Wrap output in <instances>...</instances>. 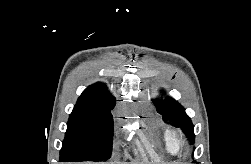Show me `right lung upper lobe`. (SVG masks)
I'll return each mask as SVG.
<instances>
[{
  "instance_id": "cb5924a9",
  "label": "right lung upper lobe",
  "mask_w": 251,
  "mask_h": 164,
  "mask_svg": "<svg viewBox=\"0 0 251 164\" xmlns=\"http://www.w3.org/2000/svg\"><path fill=\"white\" fill-rule=\"evenodd\" d=\"M77 103L99 107H109L115 105V98L102 83H96L83 91Z\"/></svg>"
}]
</instances>
